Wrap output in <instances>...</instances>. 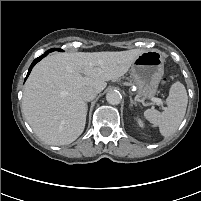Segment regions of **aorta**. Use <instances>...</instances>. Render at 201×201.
Listing matches in <instances>:
<instances>
[{"label":"aorta","instance_id":"1","mask_svg":"<svg viewBox=\"0 0 201 201\" xmlns=\"http://www.w3.org/2000/svg\"><path fill=\"white\" fill-rule=\"evenodd\" d=\"M121 99L122 96L117 91L112 90L106 94V100L111 105H118L121 102Z\"/></svg>","mask_w":201,"mask_h":201}]
</instances>
